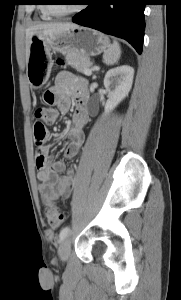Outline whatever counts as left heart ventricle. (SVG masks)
Listing matches in <instances>:
<instances>
[{"label": "left heart ventricle", "instance_id": "left-heart-ventricle-1", "mask_svg": "<svg viewBox=\"0 0 181 300\" xmlns=\"http://www.w3.org/2000/svg\"><path fill=\"white\" fill-rule=\"evenodd\" d=\"M56 2L62 3V4L54 5V8L59 12L70 11L74 8L73 5L68 4L71 1L57 0Z\"/></svg>", "mask_w": 181, "mask_h": 300}]
</instances>
